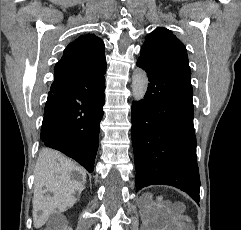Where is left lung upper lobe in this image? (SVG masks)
Listing matches in <instances>:
<instances>
[{
	"mask_svg": "<svg viewBox=\"0 0 241 230\" xmlns=\"http://www.w3.org/2000/svg\"><path fill=\"white\" fill-rule=\"evenodd\" d=\"M139 58L160 69L191 78L187 50L168 29L157 28L148 34Z\"/></svg>",
	"mask_w": 241,
	"mask_h": 230,
	"instance_id": "5c2ea615",
	"label": "left lung upper lobe"
}]
</instances>
